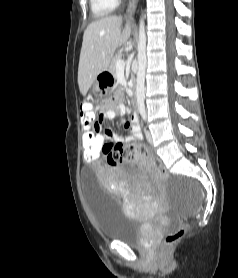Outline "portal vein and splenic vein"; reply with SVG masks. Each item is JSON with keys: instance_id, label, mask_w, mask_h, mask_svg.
<instances>
[{"instance_id": "obj_1", "label": "portal vein and splenic vein", "mask_w": 238, "mask_h": 278, "mask_svg": "<svg viewBox=\"0 0 238 278\" xmlns=\"http://www.w3.org/2000/svg\"><path fill=\"white\" fill-rule=\"evenodd\" d=\"M116 68L117 70H123L125 68V61L123 59H119L116 62Z\"/></svg>"}]
</instances>
